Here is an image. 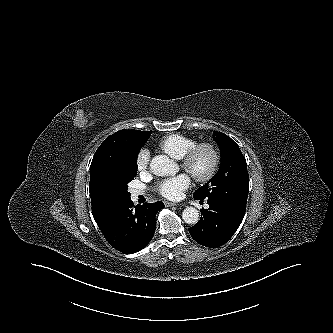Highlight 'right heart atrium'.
<instances>
[{
	"mask_svg": "<svg viewBox=\"0 0 333 333\" xmlns=\"http://www.w3.org/2000/svg\"><path fill=\"white\" fill-rule=\"evenodd\" d=\"M150 161V153L147 149H141L136 157V168L139 172L147 170Z\"/></svg>",
	"mask_w": 333,
	"mask_h": 333,
	"instance_id": "right-heart-atrium-1",
	"label": "right heart atrium"
}]
</instances>
